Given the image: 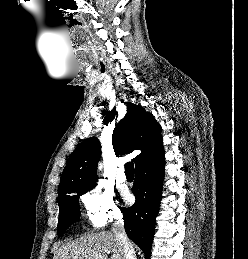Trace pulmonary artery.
I'll return each mask as SVG.
<instances>
[{
  "label": "pulmonary artery",
  "mask_w": 248,
  "mask_h": 259,
  "mask_svg": "<svg viewBox=\"0 0 248 259\" xmlns=\"http://www.w3.org/2000/svg\"><path fill=\"white\" fill-rule=\"evenodd\" d=\"M116 180L119 183H124L127 180L123 166H119L118 171H117V175H116Z\"/></svg>",
  "instance_id": "pulmonary-artery-1"
}]
</instances>
